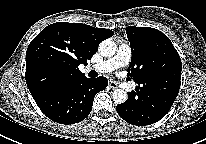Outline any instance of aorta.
<instances>
[{
  "label": "aorta",
  "mask_w": 206,
  "mask_h": 144,
  "mask_svg": "<svg viewBox=\"0 0 206 144\" xmlns=\"http://www.w3.org/2000/svg\"><path fill=\"white\" fill-rule=\"evenodd\" d=\"M116 50V43L111 39H105L99 45V52L103 57L113 56ZM112 98L116 104H123L127 100L128 95L123 89H116L112 93Z\"/></svg>",
  "instance_id": "obj_1"
}]
</instances>
